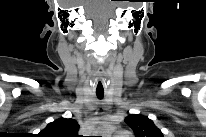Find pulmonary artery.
Here are the masks:
<instances>
[{"mask_svg": "<svg viewBox=\"0 0 206 137\" xmlns=\"http://www.w3.org/2000/svg\"><path fill=\"white\" fill-rule=\"evenodd\" d=\"M113 137H129V135L125 131H118L113 135Z\"/></svg>", "mask_w": 206, "mask_h": 137, "instance_id": "1", "label": "pulmonary artery"}]
</instances>
